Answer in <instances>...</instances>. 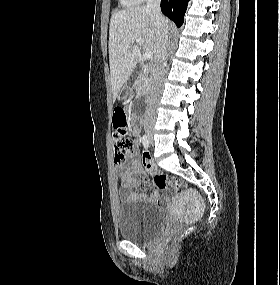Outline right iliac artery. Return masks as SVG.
<instances>
[{"label": "right iliac artery", "mask_w": 280, "mask_h": 285, "mask_svg": "<svg viewBox=\"0 0 280 285\" xmlns=\"http://www.w3.org/2000/svg\"><path fill=\"white\" fill-rule=\"evenodd\" d=\"M141 141L143 143L144 148L147 149L149 147V139L147 135H143Z\"/></svg>", "instance_id": "obj_1"}]
</instances>
